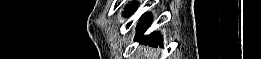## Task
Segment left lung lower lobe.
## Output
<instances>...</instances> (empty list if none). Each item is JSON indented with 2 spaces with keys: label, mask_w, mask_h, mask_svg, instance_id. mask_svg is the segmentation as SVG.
Returning <instances> with one entry per match:
<instances>
[{
  "label": "left lung lower lobe",
  "mask_w": 261,
  "mask_h": 59,
  "mask_svg": "<svg viewBox=\"0 0 261 59\" xmlns=\"http://www.w3.org/2000/svg\"><path fill=\"white\" fill-rule=\"evenodd\" d=\"M128 7L129 6H127L126 15H130V12H133L135 10L136 4H130L129 9ZM150 23H151V16L148 14H144L141 22H139L138 24L139 28L135 40H139L141 43L154 45V46L155 45L157 46L160 41L159 45H161L162 40L159 33H154L146 37L143 36V33L149 27Z\"/></svg>",
  "instance_id": "left-lung-lower-lobe-1"
}]
</instances>
